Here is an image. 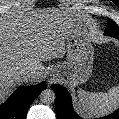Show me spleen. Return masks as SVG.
Masks as SVG:
<instances>
[{"label": "spleen", "mask_w": 119, "mask_h": 119, "mask_svg": "<svg viewBox=\"0 0 119 119\" xmlns=\"http://www.w3.org/2000/svg\"><path fill=\"white\" fill-rule=\"evenodd\" d=\"M78 112L82 116H104L119 108V86L106 92L78 91Z\"/></svg>", "instance_id": "1"}]
</instances>
